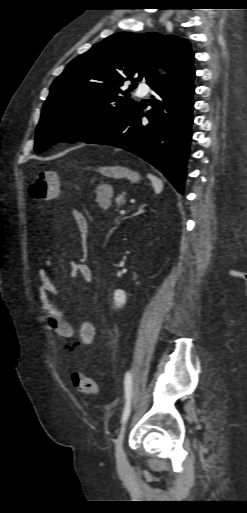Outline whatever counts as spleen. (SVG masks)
<instances>
[{"label": "spleen", "instance_id": "1", "mask_svg": "<svg viewBox=\"0 0 247 513\" xmlns=\"http://www.w3.org/2000/svg\"><path fill=\"white\" fill-rule=\"evenodd\" d=\"M150 178H151L152 185H153V188H154L155 192L157 194L162 192V190H163V182L159 178H157L155 176H151Z\"/></svg>", "mask_w": 247, "mask_h": 513}]
</instances>
